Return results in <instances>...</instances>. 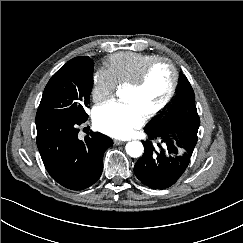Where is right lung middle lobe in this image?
<instances>
[{
    "mask_svg": "<svg viewBox=\"0 0 243 243\" xmlns=\"http://www.w3.org/2000/svg\"><path fill=\"white\" fill-rule=\"evenodd\" d=\"M93 68L87 56L76 57L63 65L47 83L36 117L87 119L85 107L90 103Z\"/></svg>",
    "mask_w": 243,
    "mask_h": 243,
    "instance_id": "right-lung-middle-lobe-1",
    "label": "right lung middle lobe"
}]
</instances>
